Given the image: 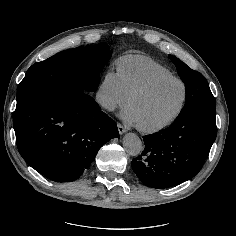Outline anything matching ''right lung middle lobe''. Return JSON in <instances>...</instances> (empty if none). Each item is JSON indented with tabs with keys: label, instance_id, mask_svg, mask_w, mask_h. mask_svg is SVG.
<instances>
[{
	"label": "right lung middle lobe",
	"instance_id": "dd1d6c3e",
	"mask_svg": "<svg viewBox=\"0 0 236 236\" xmlns=\"http://www.w3.org/2000/svg\"><path fill=\"white\" fill-rule=\"evenodd\" d=\"M110 56L108 45L97 44L65 50L33 64L18 86L17 104L38 94L69 88L95 91Z\"/></svg>",
	"mask_w": 236,
	"mask_h": 236
}]
</instances>
